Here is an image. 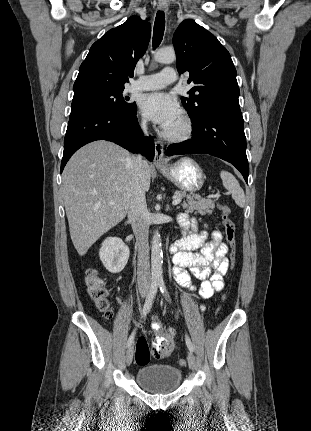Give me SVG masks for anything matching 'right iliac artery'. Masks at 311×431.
Here are the masks:
<instances>
[{"label": "right iliac artery", "instance_id": "82829eb1", "mask_svg": "<svg viewBox=\"0 0 311 431\" xmlns=\"http://www.w3.org/2000/svg\"><path fill=\"white\" fill-rule=\"evenodd\" d=\"M157 290H158V283H152L150 286V290L148 292L146 301H145L144 306H143L141 318H144L147 315V313L150 311L151 306L153 304V300L156 296ZM134 336H135V330L131 333V335L128 339L127 347H130L132 345V343L134 341Z\"/></svg>", "mask_w": 311, "mask_h": 431}]
</instances>
